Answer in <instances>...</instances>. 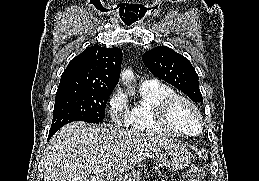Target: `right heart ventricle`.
<instances>
[{
	"label": "right heart ventricle",
	"mask_w": 259,
	"mask_h": 181,
	"mask_svg": "<svg viewBox=\"0 0 259 181\" xmlns=\"http://www.w3.org/2000/svg\"><path fill=\"white\" fill-rule=\"evenodd\" d=\"M140 100L127 111L125 126L142 133L163 136H177L159 122L158 109L161 103L176 92L170 86L159 82L149 81L139 87Z\"/></svg>",
	"instance_id": "1"
}]
</instances>
